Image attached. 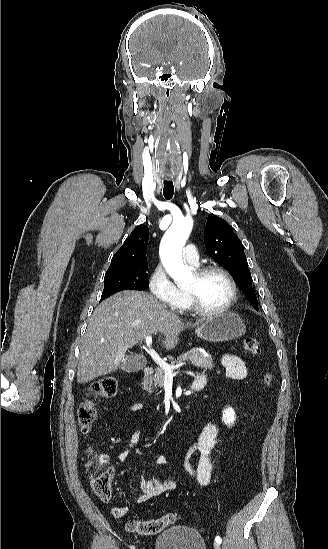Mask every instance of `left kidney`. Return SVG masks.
Here are the masks:
<instances>
[{"label": "left kidney", "mask_w": 328, "mask_h": 549, "mask_svg": "<svg viewBox=\"0 0 328 549\" xmlns=\"http://www.w3.org/2000/svg\"><path fill=\"white\" fill-rule=\"evenodd\" d=\"M224 415L222 417L224 423L226 425H231V423H234L235 421V411L234 409H231V407H227V409H224L223 411Z\"/></svg>", "instance_id": "1"}]
</instances>
